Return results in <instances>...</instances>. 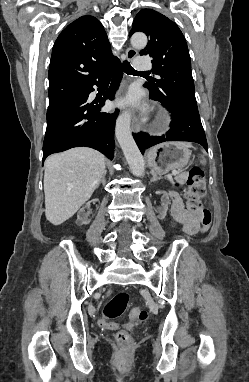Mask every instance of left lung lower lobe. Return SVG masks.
I'll return each mask as SVG.
<instances>
[{
	"label": "left lung lower lobe",
	"mask_w": 249,
	"mask_h": 382,
	"mask_svg": "<svg viewBox=\"0 0 249 382\" xmlns=\"http://www.w3.org/2000/svg\"><path fill=\"white\" fill-rule=\"evenodd\" d=\"M150 97L157 100L151 94ZM163 106L171 112V128L165 135L162 136H150L149 134L143 132L134 134L133 137L141 153L143 154L146 148L165 141L196 142L201 144L205 150L208 151L206 136L201 124L198 110L190 107Z\"/></svg>",
	"instance_id": "1"
}]
</instances>
